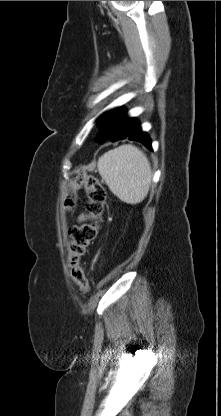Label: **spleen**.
<instances>
[{
    "instance_id": "1",
    "label": "spleen",
    "mask_w": 221,
    "mask_h": 416,
    "mask_svg": "<svg viewBox=\"0 0 221 416\" xmlns=\"http://www.w3.org/2000/svg\"><path fill=\"white\" fill-rule=\"evenodd\" d=\"M102 179L121 201L137 204L147 196L152 170L144 152L131 144L103 154L97 163Z\"/></svg>"
}]
</instances>
